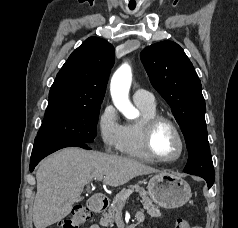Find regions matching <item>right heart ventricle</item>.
I'll list each match as a JSON object with an SVG mask.
<instances>
[{
  "label": "right heart ventricle",
  "mask_w": 238,
  "mask_h": 228,
  "mask_svg": "<svg viewBox=\"0 0 238 228\" xmlns=\"http://www.w3.org/2000/svg\"><path fill=\"white\" fill-rule=\"evenodd\" d=\"M136 105L141 112V117L137 122L127 123L123 126L119 151L129 157L151 162L154 160L147 154L143 146L141 124L143 120L157 115L156 106Z\"/></svg>",
  "instance_id": "right-heart-ventricle-1"
}]
</instances>
